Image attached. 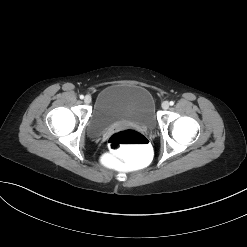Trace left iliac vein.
<instances>
[{
  "label": "left iliac vein",
  "mask_w": 247,
  "mask_h": 247,
  "mask_svg": "<svg viewBox=\"0 0 247 247\" xmlns=\"http://www.w3.org/2000/svg\"><path fill=\"white\" fill-rule=\"evenodd\" d=\"M162 108H163L164 110H167V109L169 108V103H168L167 101H164V102L162 103Z\"/></svg>",
  "instance_id": "obj_1"
}]
</instances>
